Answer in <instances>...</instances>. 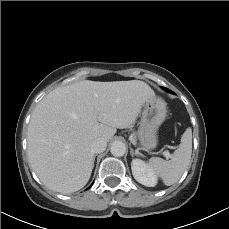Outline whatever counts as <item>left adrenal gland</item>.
<instances>
[{
    "label": "left adrenal gland",
    "mask_w": 229,
    "mask_h": 229,
    "mask_svg": "<svg viewBox=\"0 0 229 229\" xmlns=\"http://www.w3.org/2000/svg\"><path fill=\"white\" fill-rule=\"evenodd\" d=\"M130 154H131L132 157L137 155L132 148H130Z\"/></svg>",
    "instance_id": "left-adrenal-gland-1"
}]
</instances>
